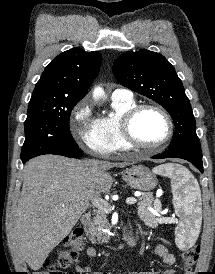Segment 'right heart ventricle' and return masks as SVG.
<instances>
[{
	"instance_id": "e07e8e85",
	"label": "right heart ventricle",
	"mask_w": 215,
	"mask_h": 274,
	"mask_svg": "<svg viewBox=\"0 0 215 274\" xmlns=\"http://www.w3.org/2000/svg\"><path fill=\"white\" fill-rule=\"evenodd\" d=\"M135 104L133 97L129 99L112 97L111 105L114 111L113 115L97 119L99 131L107 141L110 153L122 152L130 149L123 140L120 132V118Z\"/></svg>"
}]
</instances>
